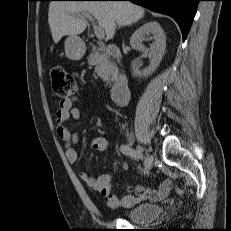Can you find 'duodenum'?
Returning <instances> with one entry per match:
<instances>
[{
    "label": "duodenum",
    "mask_w": 231,
    "mask_h": 231,
    "mask_svg": "<svg viewBox=\"0 0 231 231\" xmlns=\"http://www.w3.org/2000/svg\"><path fill=\"white\" fill-rule=\"evenodd\" d=\"M103 51L115 59H120L121 57L118 47L114 44L105 46ZM129 91L128 77L123 73H118L111 91L112 101L118 106L124 105L128 100Z\"/></svg>",
    "instance_id": "duodenum-1"
}]
</instances>
